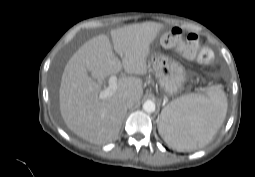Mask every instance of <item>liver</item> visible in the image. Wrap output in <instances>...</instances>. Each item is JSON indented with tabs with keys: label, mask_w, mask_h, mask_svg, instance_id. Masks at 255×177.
I'll use <instances>...</instances> for the list:
<instances>
[{
	"label": "liver",
	"mask_w": 255,
	"mask_h": 177,
	"mask_svg": "<svg viewBox=\"0 0 255 177\" xmlns=\"http://www.w3.org/2000/svg\"><path fill=\"white\" fill-rule=\"evenodd\" d=\"M163 27L160 23L144 22L112 30L113 49L122 62L106 35L90 39L74 53L65 66L59 90L61 115L71 131L98 145L118 137L127 112L124 101L133 98L137 103L141 99L142 80L122 76L116 92L105 99L99 97L102 83L122 68L131 75L146 74L150 45Z\"/></svg>",
	"instance_id": "1"
}]
</instances>
